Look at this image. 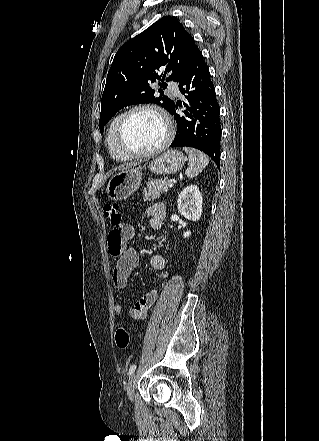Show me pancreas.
<instances>
[{
  "label": "pancreas",
  "mask_w": 319,
  "mask_h": 441,
  "mask_svg": "<svg viewBox=\"0 0 319 441\" xmlns=\"http://www.w3.org/2000/svg\"><path fill=\"white\" fill-rule=\"evenodd\" d=\"M168 183L169 180L166 177L148 181L146 187L143 190L144 199L146 201H153L159 198L162 193H165L169 190Z\"/></svg>",
  "instance_id": "obj_1"
}]
</instances>
